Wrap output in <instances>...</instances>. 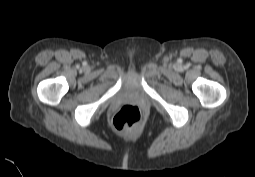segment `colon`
Returning <instances> with one entry per match:
<instances>
[{"label": "colon", "mask_w": 255, "mask_h": 177, "mask_svg": "<svg viewBox=\"0 0 255 177\" xmlns=\"http://www.w3.org/2000/svg\"><path fill=\"white\" fill-rule=\"evenodd\" d=\"M141 121V112L134 105L123 106L113 118V126L117 130H127L137 126Z\"/></svg>", "instance_id": "1"}]
</instances>
